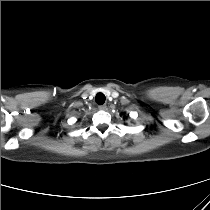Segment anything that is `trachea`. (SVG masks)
Returning <instances> with one entry per match:
<instances>
[{"mask_svg": "<svg viewBox=\"0 0 210 210\" xmlns=\"http://www.w3.org/2000/svg\"><path fill=\"white\" fill-rule=\"evenodd\" d=\"M105 95L103 93H98L95 97L96 103L102 105L105 102Z\"/></svg>", "mask_w": 210, "mask_h": 210, "instance_id": "1", "label": "trachea"}]
</instances>
